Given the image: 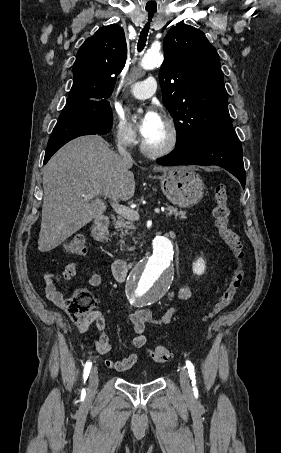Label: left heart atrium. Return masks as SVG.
<instances>
[{"mask_svg": "<svg viewBox=\"0 0 281 453\" xmlns=\"http://www.w3.org/2000/svg\"><path fill=\"white\" fill-rule=\"evenodd\" d=\"M162 117L157 107L151 106L147 109L140 120L139 129L145 138L154 128L162 123Z\"/></svg>", "mask_w": 281, "mask_h": 453, "instance_id": "left-heart-atrium-1", "label": "left heart atrium"}]
</instances>
